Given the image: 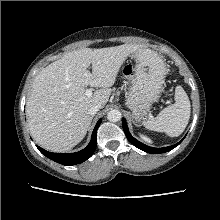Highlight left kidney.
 Here are the masks:
<instances>
[{"mask_svg": "<svg viewBox=\"0 0 220 220\" xmlns=\"http://www.w3.org/2000/svg\"><path fill=\"white\" fill-rule=\"evenodd\" d=\"M140 137L146 142H149V143L151 142V140L143 134H140Z\"/></svg>", "mask_w": 220, "mask_h": 220, "instance_id": "left-kidney-1", "label": "left kidney"}]
</instances>
